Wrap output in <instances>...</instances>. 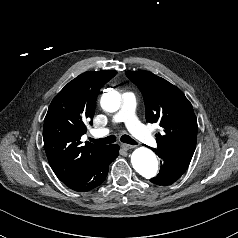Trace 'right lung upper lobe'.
Wrapping results in <instances>:
<instances>
[{
    "instance_id": "right-lung-upper-lobe-1",
    "label": "right lung upper lobe",
    "mask_w": 238,
    "mask_h": 238,
    "mask_svg": "<svg viewBox=\"0 0 238 238\" xmlns=\"http://www.w3.org/2000/svg\"><path fill=\"white\" fill-rule=\"evenodd\" d=\"M116 71H88L70 81L52 100L44 120L43 140L49 164L61 180L78 173L106 146L86 142L81 136L96 106L99 89Z\"/></svg>"
}]
</instances>
